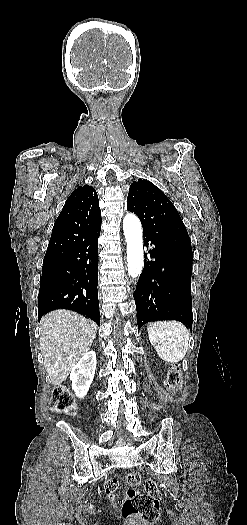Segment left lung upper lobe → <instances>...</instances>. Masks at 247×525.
<instances>
[{
	"mask_svg": "<svg viewBox=\"0 0 247 525\" xmlns=\"http://www.w3.org/2000/svg\"><path fill=\"white\" fill-rule=\"evenodd\" d=\"M127 209L140 218L144 232L163 238L193 259L191 241L179 213L154 184L142 179L134 181L129 188Z\"/></svg>",
	"mask_w": 247,
	"mask_h": 525,
	"instance_id": "obj_1",
	"label": "left lung upper lobe"
}]
</instances>
